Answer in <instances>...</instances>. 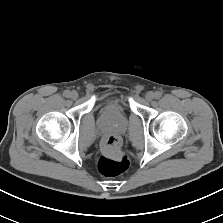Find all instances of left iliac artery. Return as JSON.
<instances>
[{
    "mask_svg": "<svg viewBox=\"0 0 223 223\" xmlns=\"http://www.w3.org/2000/svg\"><path fill=\"white\" fill-rule=\"evenodd\" d=\"M161 96H162V93H161L160 91H156V92L154 93V98H155V99H159Z\"/></svg>",
    "mask_w": 223,
    "mask_h": 223,
    "instance_id": "44dca946",
    "label": "left iliac artery"
}]
</instances>
